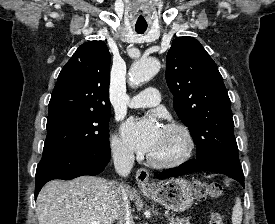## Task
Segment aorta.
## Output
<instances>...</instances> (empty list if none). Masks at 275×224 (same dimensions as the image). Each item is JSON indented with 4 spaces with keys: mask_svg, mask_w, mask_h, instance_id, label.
I'll use <instances>...</instances> for the list:
<instances>
[{
    "mask_svg": "<svg viewBox=\"0 0 275 224\" xmlns=\"http://www.w3.org/2000/svg\"><path fill=\"white\" fill-rule=\"evenodd\" d=\"M160 62L155 58L141 59L134 62L129 70L131 86H138L150 80L158 73Z\"/></svg>",
    "mask_w": 275,
    "mask_h": 224,
    "instance_id": "1",
    "label": "aorta"
}]
</instances>
